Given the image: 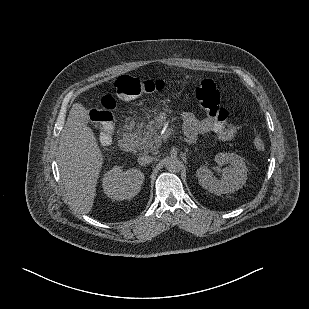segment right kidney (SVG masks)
<instances>
[{
  "mask_svg": "<svg viewBox=\"0 0 309 309\" xmlns=\"http://www.w3.org/2000/svg\"><path fill=\"white\" fill-rule=\"evenodd\" d=\"M145 179L137 169L123 171L121 166H113L102 178L104 193L115 200H127L137 195Z\"/></svg>",
  "mask_w": 309,
  "mask_h": 309,
  "instance_id": "obj_1",
  "label": "right kidney"
}]
</instances>
